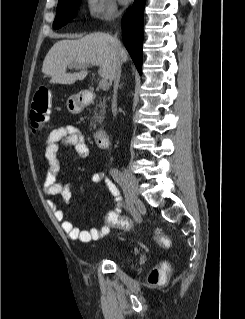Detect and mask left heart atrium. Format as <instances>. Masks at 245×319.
<instances>
[{
    "instance_id": "39dd6f15",
    "label": "left heart atrium",
    "mask_w": 245,
    "mask_h": 319,
    "mask_svg": "<svg viewBox=\"0 0 245 319\" xmlns=\"http://www.w3.org/2000/svg\"><path fill=\"white\" fill-rule=\"evenodd\" d=\"M123 3H127L129 0H121Z\"/></svg>"
}]
</instances>
